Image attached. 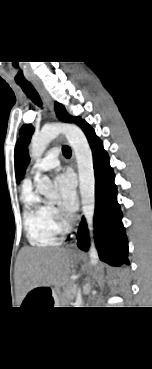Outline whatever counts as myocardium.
I'll list each match as a JSON object with an SVG mask.
<instances>
[{
	"instance_id": "myocardium-1",
	"label": "myocardium",
	"mask_w": 152,
	"mask_h": 369,
	"mask_svg": "<svg viewBox=\"0 0 152 369\" xmlns=\"http://www.w3.org/2000/svg\"><path fill=\"white\" fill-rule=\"evenodd\" d=\"M62 225H63L64 228H68V226H69L66 221H63Z\"/></svg>"
}]
</instances>
